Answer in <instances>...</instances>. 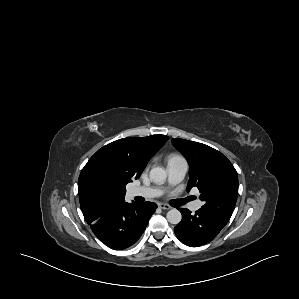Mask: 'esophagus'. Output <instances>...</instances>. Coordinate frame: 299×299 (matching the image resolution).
I'll return each mask as SVG.
<instances>
[{
    "label": "esophagus",
    "mask_w": 299,
    "mask_h": 299,
    "mask_svg": "<svg viewBox=\"0 0 299 299\" xmlns=\"http://www.w3.org/2000/svg\"><path fill=\"white\" fill-rule=\"evenodd\" d=\"M158 207L161 208V209H163V210H169V209H171V207L168 204H165V203H159Z\"/></svg>",
    "instance_id": "1"
}]
</instances>
